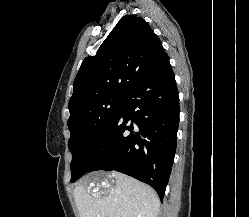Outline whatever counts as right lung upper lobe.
I'll list each match as a JSON object with an SVG mask.
<instances>
[{"mask_svg": "<svg viewBox=\"0 0 249 217\" xmlns=\"http://www.w3.org/2000/svg\"><path fill=\"white\" fill-rule=\"evenodd\" d=\"M164 54L161 41L143 18L124 16L96 55L82 62L69 111L101 97L126 96Z\"/></svg>", "mask_w": 249, "mask_h": 217, "instance_id": "cb5924a9", "label": "right lung upper lobe"}]
</instances>
